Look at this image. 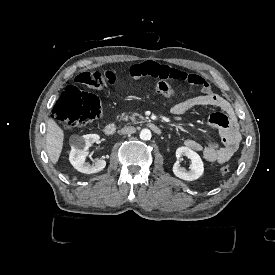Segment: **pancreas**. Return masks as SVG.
<instances>
[{
    "mask_svg": "<svg viewBox=\"0 0 275 275\" xmlns=\"http://www.w3.org/2000/svg\"><path fill=\"white\" fill-rule=\"evenodd\" d=\"M136 116H139L140 118H142L138 113H132L131 115H126L125 113H123L120 117V119L122 120H128L130 119L132 122L136 121Z\"/></svg>",
    "mask_w": 275,
    "mask_h": 275,
    "instance_id": "pancreas-1",
    "label": "pancreas"
}]
</instances>
